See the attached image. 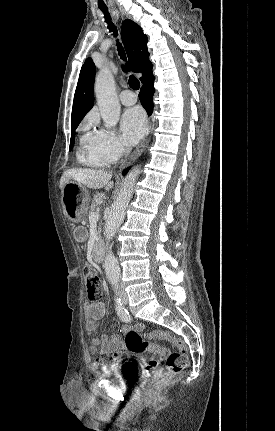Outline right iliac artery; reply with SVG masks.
Listing matches in <instances>:
<instances>
[{
  "label": "right iliac artery",
  "instance_id": "obj_1",
  "mask_svg": "<svg viewBox=\"0 0 275 431\" xmlns=\"http://www.w3.org/2000/svg\"><path fill=\"white\" fill-rule=\"evenodd\" d=\"M115 302H116V311H117L119 318L123 322H130L131 316H130L129 312L127 311V309L123 306L121 299L119 297H116Z\"/></svg>",
  "mask_w": 275,
  "mask_h": 431
}]
</instances>
